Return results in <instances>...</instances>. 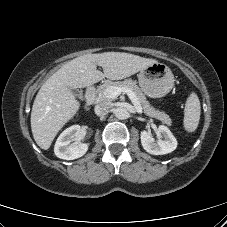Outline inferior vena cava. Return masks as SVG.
<instances>
[{
	"mask_svg": "<svg viewBox=\"0 0 227 227\" xmlns=\"http://www.w3.org/2000/svg\"><path fill=\"white\" fill-rule=\"evenodd\" d=\"M112 106L111 102L102 101L95 106V114L98 116H105L110 112Z\"/></svg>",
	"mask_w": 227,
	"mask_h": 227,
	"instance_id": "1",
	"label": "inferior vena cava"
}]
</instances>
